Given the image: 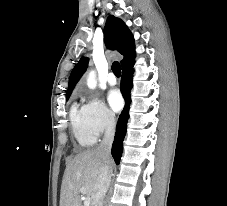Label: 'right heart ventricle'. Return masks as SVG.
<instances>
[{
  "label": "right heart ventricle",
  "mask_w": 227,
  "mask_h": 206,
  "mask_svg": "<svg viewBox=\"0 0 227 206\" xmlns=\"http://www.w3.org/2000/svg\"><path fill=\"white\" fill-rule=\"evenodd\" d=\"M70 120L77 142L82 147L92 146L96 141V136L87 125L83 107L79 108L74 104L70 110Z\"/></svg>",
  "instance_id": "1"
}]
</instances>
